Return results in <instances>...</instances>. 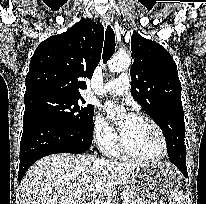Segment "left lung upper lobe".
Listing matches in <instances>:
<instances>
[{
	"label": "left lung upper lobe",
	"instance_id": "5c2ea615",
	"mask_svg": "<svg viewBox=\"0 0 206 204\" xmlns=\"http://www.w3.org/2000/svg\"><path fill=\"white\" fill-rule=\"evenodd\" d=\"M131 41V94L161 127L167 143L184 142L181 83L175 61L163 46L136 31Z\"/></svg>",
	"mask_w": 206,
	"mask_h": 204
}]
</instances>
